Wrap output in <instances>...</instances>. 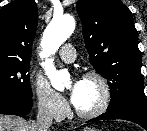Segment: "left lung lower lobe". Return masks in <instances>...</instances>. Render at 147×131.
<instances>
[{"instance_id":"1","label":"left lung lower lobe","mask_w":147,"mask_h":131,"mask_svg":"<svg viewBox=\"0 0 147 131\" xmlns=\"http://www.w3.org/2000/svg\"><path fill=\"white\" fill-rule=\"evenodd\" d=\"M108 119H122L139 124L147 130V108L124 107L114 110H107L102 115L89 120L88 122Z\"/></svg>"}]
</instances>
